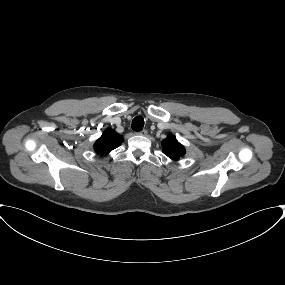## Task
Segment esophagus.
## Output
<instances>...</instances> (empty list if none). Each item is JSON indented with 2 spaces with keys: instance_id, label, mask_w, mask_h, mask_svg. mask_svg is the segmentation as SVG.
<instances>
[{
  "instance_id": "1",
  "label": "esophagus",
  "mask_w": 285,
  "mask_h": 285,
  "mask_svg": "<svg viewBox=\"0 0 285 285\" xmlns=\"http://www.w3.org/2000/svg\"><path fill=\"white\" fill-rule=\"evenodd\" d=\"M147 133H148L147 130L144 129V130L138 132L137 134L142 135V136H146Z\"/></svg>"
}]
</instances>
